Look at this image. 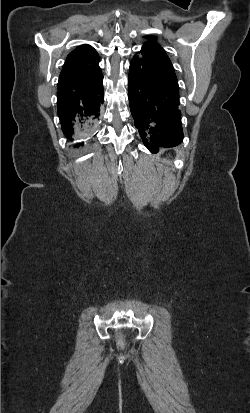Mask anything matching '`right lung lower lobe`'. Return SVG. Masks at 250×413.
I'll return each mask as SVG.
<instances>
[{"label": "right lung lower lobe", "instance_id": "obj_1", "mask_svg": "<svg viewBox=\"0 0 250 413\" xmlns=\"http://www.w3.org/2000/svg\"><path fill=\"white\" fill-rule=\"evenodd\" d=\"M101 70L89 81L72 86H58L57 109L62 130L71 141L91 136L99 120L103 97ZM84 142H78L79 147Z\"/></svg>", "mask_w": 250, "mask_h": 413}]
</instances>
